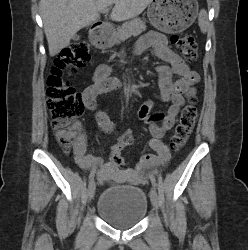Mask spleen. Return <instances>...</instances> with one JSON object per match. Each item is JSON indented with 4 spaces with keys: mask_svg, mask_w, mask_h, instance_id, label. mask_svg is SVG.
Listing matches in <instances>:
<instances>
[{
    "mask_svg": "<svg viewBox=\"0 0 248 250\" xmlns=\"http://www.w3.org/2000/svg\"><path fill=\"white\" fill-rule=\"evenodd\" d=\"M198 24L202 33H206L208 29V16L205 9H202L199 13Z\"/></svg>",
    "mask_w": 248,
    "mask_h": 250,
    "instance_id": "1",
    "label": "spleen"
}]
</instances>
